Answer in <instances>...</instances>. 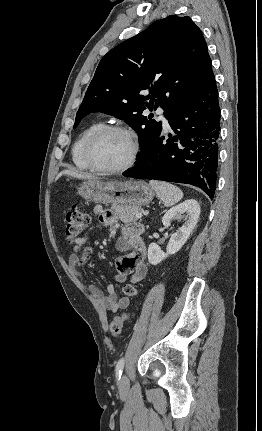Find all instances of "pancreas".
I'll return each instance as SVG.
<instances>
[{"instance_id": "cf45deb5", "label": "pancreas", "mask_w": 262, "mask_h": 431, "mask_svg": "<svg viewBox=\"0 0 262 431\" xmlns=\"http://www.w3.org/2000/svg\"><path fill=\"white\" fill-rule=\"evenodd\" d=\"M114 210L122 222L130 223L137 220L136 214L140 213L142 209L138 206L120 205L114 207Z\"/></svg>"}]
</instances>
